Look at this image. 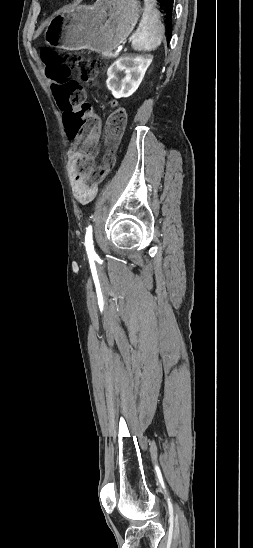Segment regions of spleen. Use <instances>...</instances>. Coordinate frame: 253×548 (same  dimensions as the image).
Wrapping results in <instances>:
<instances>
[{
    "instance_id": "1",
    "label": "spleen",
    "mask_w": 253,
    "mask_h": 548,
    "mask_svg": "<svg viewBox=\"0 0 253 548\" xmlns=\"http://www.w3.org/2000/svg\"><path fill=\"white\" fill-rule=\"evenodd\" d=\"M154 0H144L145 8L140 22L141 31L132 41L137 51H152L157 49L164 35V26L159 19V11L154 7Z\"/></svg>"
}]
</instances>
